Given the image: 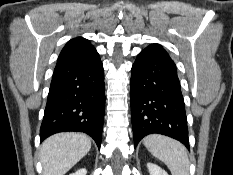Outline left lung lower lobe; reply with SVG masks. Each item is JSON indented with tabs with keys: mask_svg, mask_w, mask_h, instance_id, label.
<instances>
[{
	"mask_svg": "<svg viewBox=\"0 0 233 175\" xmlns=\"http://www.w3.org/2000/svg\"><path fill=\"white\" fill-rule=\"evenodd\" d=\"M130 102L135 147L146 135L159 133L189 149L176 65L162 47L150 45L138 54L132 66Z\"/></svg>",
	"mask_w": 233,
	"mask_h": 175,
	"instance_id": "0a47b994",
	"label": "left lung lower lobe"
}]
</instances>
